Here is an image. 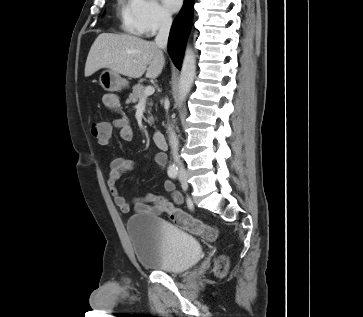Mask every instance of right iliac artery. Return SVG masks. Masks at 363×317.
Masks as SVG:
<instances>
[{"mask_svg":"<svg viewBox=\"0 0 363 317\" xmlns=\"http://www.w3.org/2000/svg\"><path fill=\"white\" fill-rule=\"evenodd\" d=\"M177 171L176 170H171V171H168V175H169V177L170 178H176V176H177Z\"/></svg>","mask_w":363,"mask_h":317,"instance_id":"1","label":"right iliac artery"}]
</instances>
